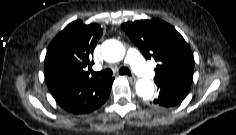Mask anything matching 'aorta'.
<instances>
[{
  "mask_svg": "<svg viewBox=\"0 0 236 135\" xmlns=\"http://www.w3.org/2000/svg\"><path fill=\"white\" fill-rule=\"evenodd\" d=\"M101 53L108 62H117L123 59L125 48L117 40H107L102 44ZM136 93L143 99H150L154 95V84L151 80L143 78L136 83Z\"/></svg>",
  "mask_w": 236,
  "mask_h": 135,
  "instance_id": "obj_1",
  "label": "aorta"
}]
</instances>
